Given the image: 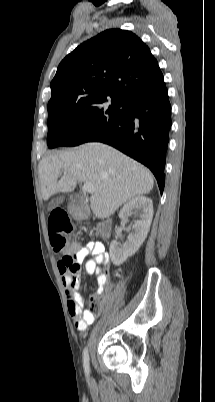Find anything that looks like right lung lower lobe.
I'll list each match as a JSON object with an SVG mask.
<instances>
[{"mask_svg":"<svg viewBox=\"0 0 215 402\" xmlns=\"http://www.w3.org/2000/svg\"><path fill=\"white\" fill-rule=\"evenodd\" d=\"M171 124V104L163 86L130 97L124 113L114 123L84 142L109 144L141 162L153 172L162 193Z\"/></svg>","mask_w":215,"mask_h":402,"instance_id":"obj_1","label":"right lung lower lobe"}]
</instances>
